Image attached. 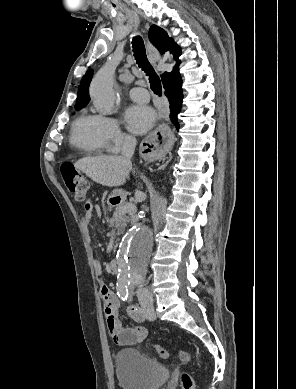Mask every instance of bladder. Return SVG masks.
I'll return each mask as SVG.
<instances>
[{"label": "bladder", "mask_w": 296, "mask_h": 389, "mask_svg": "<svg viewBox=\"0 0 296 389\" xmlns=\"http://www.w3.org/2000/svg\"><path fill=\"white\" fill-rule=\"evenodd\" d=\"M115 372L122 389H158L169 377V370L138 350H119L114 357Z\"/></svg>", "instance_id": "obj_1"}]
</instances>
